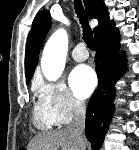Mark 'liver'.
Returning a JSON list of instances; mask_svg holds the SVG:
<instances>
[{
	"instance_id": "6515ba94",
	"label": "liver",
	"mask_w": 139,
	"mask_h": 150,
	"mask_svg": "<svg viewBox=\"0 0 139 150\" xmlns=\"http://www.w3.org/2000/svg\"><path fill=\"white\" fill-rule=\"evenodd\" d=\"M78 150L75 137L68 129L48 132L35 136L29 143L28 150Z\"/></svg>"
}]
</instances>
